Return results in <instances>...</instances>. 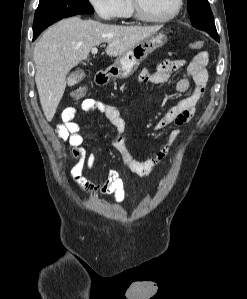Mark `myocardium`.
I'll list each match as a JSON object with an SVG mask.
<instances>
[{
    "label": "myocardium",
    "mask_w": 247,
    "mask_h": 299,
    "mask_svg": "<svg viewBox=\"0 0 247 299\" xmlns=\"http://www.w3.org/2000/svg\"><path fill=\"white\" fill-rule=\"evenodd\" d=\"M131 2H132L134 15L139 20L144 22H149V23H167L169 21H172L179 15L183 7V0H177L176 7L170 15L158 18V17L149 16L145 13L141 0H131Z\"/></svg>",
    "instance_id": "f54148a6"
}]
</instances>
